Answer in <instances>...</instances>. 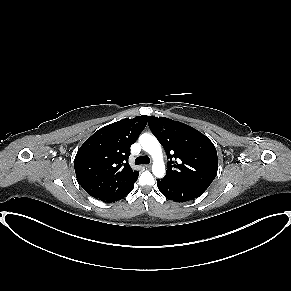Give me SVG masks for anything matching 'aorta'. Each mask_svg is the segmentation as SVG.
Returning a JSON list of instances; mask_svg holds the SVG:
<instances>
[{
	"label": "aorta",
	"mask_w": 291,
	"mask_h": 291,
	"mask_svg": "<svg viewBox=\"0 0 291 291\" xmlns=\"http://www.w3.org/2000/svg\"><path fill=\"white\" fill-rule=\"evenodd\" d=\"M139 142L144 151L149 153L153 159L152 172L157 178L165 175V165L162 161V149L158 140L151 134L144 133L140 135Z\"/></svg>",
	"instance_id": "aorta-1"
}]
</instances>
